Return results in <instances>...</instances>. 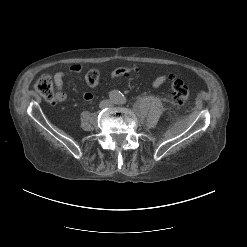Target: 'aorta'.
I'll return each instance as SVG.
<instances>
[{
    "mask_svg": "<svg viewBox=\"0 0 247 247\" xmlns=\"http://www.w3.org/2000/svg\"><path fill=\"white\" fill-rule=\"evenodd\" d=\"M110 99L115 103L122 102L123 94L118 90H112L109 94Z\"/></svg>",
    "mask_w": 247,
    "mask_h": 247,
    "instance_id": "aorta-1",
    "label": "aorta"
}]
</instances>
